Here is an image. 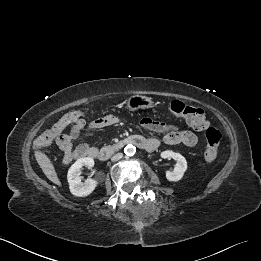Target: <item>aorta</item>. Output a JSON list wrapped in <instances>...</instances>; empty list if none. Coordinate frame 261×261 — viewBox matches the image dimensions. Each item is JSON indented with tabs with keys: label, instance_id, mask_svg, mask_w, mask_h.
<instances>
[{
	"label": "aorta",
	"instance_id": "1",
	"mask_svg": "<svg viewBox=\"0 0 261 261\" xmlns=\"http://www.w3.org/2000/svg\"><path fill=\"white\" fill-rule=\"evenodd\" d=\"M124 153L127 156H133L136 153V147L133 146L132 144H128L124 148Z\"/></svg>",
	"mask_w": 261,
	"mask_h": 261
}]
</instances>
